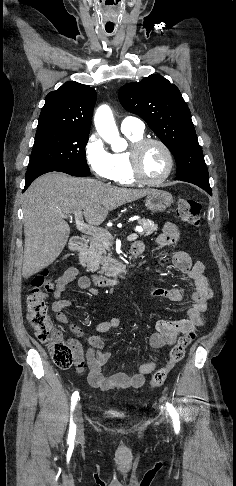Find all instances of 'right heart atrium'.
Wrapping results in <instances>:
<instances>
[{"label": "right heart atrium", "mask_w": 236, "mask_h": 486, "mask_svg": "<svg viewBox=\"0 0 236 486\" xmlns=\"http://www.w3.org/2000/svg\"><path fill=\"white\" fill-rule=\"evenodd\" d=\"M84 155L87 164L97 177L104 180H112V154L107 150L97 134H91L87 139L84 146Z\"/></svg>", "instance_id": "1"}]
</instances>
